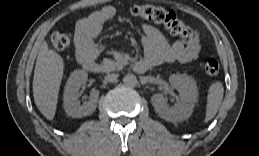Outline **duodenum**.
I'll list each match as a JSON object with an SVG mask.
<instances>
[{"label": "duodenum", "mask_w": 259, "mask_h": 156, "mask_svg": "<svg viewBox=\"0 0 259 156\" xmlns=\"http://www.w3.org/2000/svg\"><path fill=\"white\" fill-rule=\"evenodd\" d=\"M83 67L90 72L97 73L101 70L100 65L95 61L94 57L86 54L80 57ZM135 71L138 73H144L148 68V64L143 61H139L135 65Z\"/></svg>", "instance_id": "obj_1"}]
</instances>
